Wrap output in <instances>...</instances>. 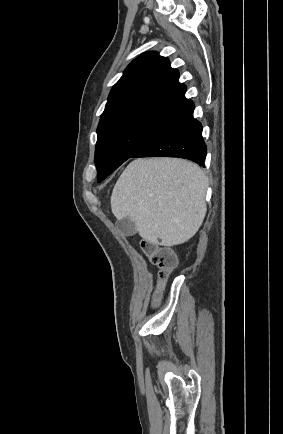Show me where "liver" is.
Wrapping results in <instances>:
<instances>
[{"label":"liver","mask_w":283,"mask_h":434,"mask_svg":"<svg viewBox=\"0 0 283 434\" xmlns=\"http://www.w3.org/2000/svg\"><path fill=\"white\" fill-rule=\"evenodd\" d=\"M207 187L206 175L190 161L136 159L113 188L111 210L118 221L132 220L148 243L175 246L188 241L202 225Z\"/></svg>","instance_id":"obj_1"}]
</instances>
